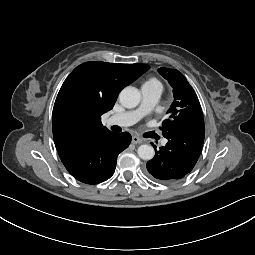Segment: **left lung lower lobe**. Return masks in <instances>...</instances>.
<instances>
[{"label":"left lung lower lobe","instance_id":"obj_1","mask_svg":"<svg viewBox=\"0 0 255 255\" xmlns=\"http://www.w3.org/2000/svg\"><path fill=\"white\" fill-rule=\"evenodd\" d=\"M204 136L203 117L170 130L164 136L167 144L159 150L154 146L155 156L146 165L149 175L163 183H174L187 176L199 159Z\"/></svg>","mask_w":255,"mask_h":255}]
</instances>
